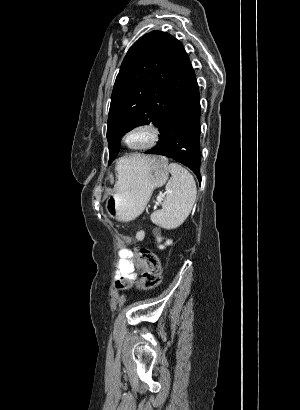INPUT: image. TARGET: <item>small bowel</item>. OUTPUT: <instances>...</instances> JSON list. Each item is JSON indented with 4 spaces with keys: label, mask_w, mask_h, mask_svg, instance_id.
<instances>
[{
    "label": "small bowel",
    "mask_w": 300,
    "mask_h": 410,
    "mask_svg": "<svg viewBox=\"0 0 300 410\" xmlns=\"http://www.w3.org/2000/svg\"><path fill=\"white\" fill-rule=\"evenodd\" d=\"M143 237L144 232H138L137 239H142ZM119 256L118 278L133 282L137 278L136 262L133 253L127 249H122L119 252Z\"/></svg>",
    "instance_id": "obj_1"
}]
</instances>
